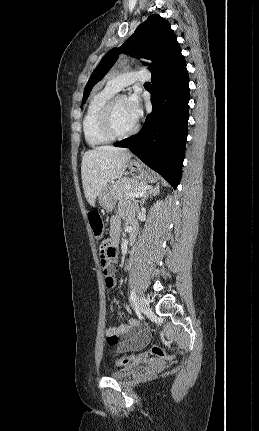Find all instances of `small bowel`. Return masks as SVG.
<instances>
[{
  "instance_id": "c3829d8e",
  "label": "small bowel",
  "mask_w": 259,
  "mask_h": 431,
  "mask_svg": "<svg viewBox=\"0 0 259 431\" xmlns=\"http://www.w3.org/2000/svg\"><path fill=\"white\" fill-rule=\"evenodd\" d=\"M120 227V218L117 216H113L110 220L109 238L107 240L115 248L117 247L119 241ZM101 273L105 276V286L108 288L113 287L115 277L113 275L112 264L109 267H102ZM109 332H115L118 335L119 340L117 343H121L123 345L132 343V345L137 348L143 347L148 339L147 329L144 328L141 322L136 319H132L127 324L122 326L110 327L107 329L106 334H108Z\"/></svg>"
}]
</instances>
